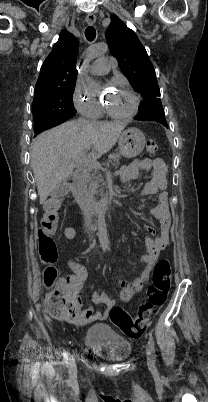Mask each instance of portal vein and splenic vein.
<instances>
[{"mask_svg":"<svg viewBox=\"0 0 208 402\" xmlns=\"http://www.w3.org/2000/svg\"><path fill=\"white\" fill-rule=\"evenodd\" d=\"M113 157L115 160L111 161L110 166L114 167L115 165L119 164V156L116 154H113ZM79 164H83V166H88V170H99V168H101V164H99V162H97V160H91V158H86V154L85 152H83V154H80L79 158ZM77 164V162H76ZM78 166V164H77Z\"/></svg>","mask_w":208,"mask_h":402,"instance_id":"18ae733b","label":"portal vein and splenic vein"}]
</instances>
